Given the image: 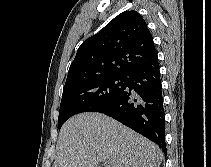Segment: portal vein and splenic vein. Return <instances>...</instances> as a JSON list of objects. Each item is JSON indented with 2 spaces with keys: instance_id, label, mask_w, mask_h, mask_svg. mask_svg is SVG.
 <instances>
[{
  "instance_id": "portal-vein-and-splenic-vein-1",
  "label": "portal vein and splenic vein",
  "mask_w": 211,
  "mask_h": 167,
  "mask_svg": "<svg viewBox=\"0 0 211 167\" xmlns=\"http://www.w3.org/2000/svg\"><path fill=\"white\" fill-rule=\"evenodd\" d=\"M104 167H110L108 161L103 162Z\"/></svg>"
}]
</instances>
